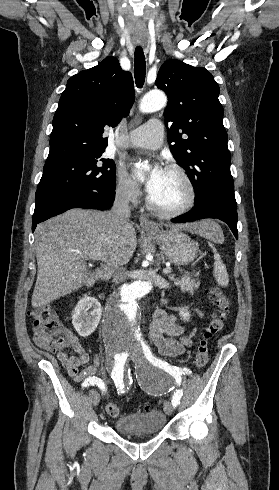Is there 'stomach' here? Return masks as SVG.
Listing matches in <instances>:
<instances>
[{
	"instance_id": "1",
	"label": "stomach",
	"mask_w": 279,
	"mask_h": 490,
	"mask_svg": "<svg viewBox=\"0 0 279 490\" xmlns=\"http://www.w3.org/2000/svg\"><path fill=\"white\" fill-rule=\"evenodd\" d=\"M162 228L163 224H158ZM159 232H147V236H152L164 256L170 264L175 266H188L194 262L198 252L195 242L184 234L183 230H160Z\"/></svg>"
}]
</instances>
